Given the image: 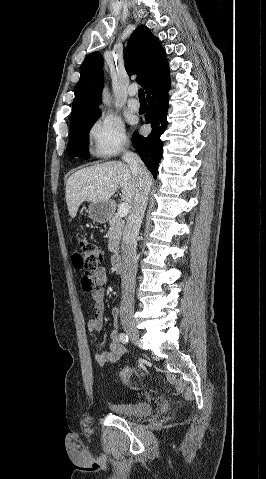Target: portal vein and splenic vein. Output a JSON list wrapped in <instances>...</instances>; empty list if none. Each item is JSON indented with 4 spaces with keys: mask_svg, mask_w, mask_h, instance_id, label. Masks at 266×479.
<instances>
[{
    "mask_svg": "<svg viewBox=\"0 0 266 479\" xmlns=\"http://www.w3.org/2000/svg\"><path fill=\"white\" fill-rule=\"evenodd\" d=\"M128 212H129V205L127 203H122L118 209V216L124 217L128 214Z\"/></svg>",
    "mask_w": 266,
    "mask_h": 479,
    "instance_id": "1",
    "label": "portal vein and splenic vein"
}]
</instances>
